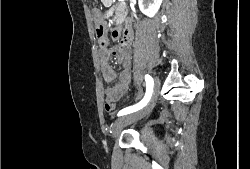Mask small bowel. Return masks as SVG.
I'll return each instance as SVG.
<instances>
[{
  "label": "small bowel",
  "mask_w": 250,
  "mask_h": 169,
  "mask_svg": "<svg viewBox=\"0 0 250 169\" xmlns=\"http://www.w3.org/2000/svg\"><path fill=\"white\" fill-rule=\"evenodd\" d=\"M115 17L117 20H122L123 13L116 10ZM131 38L128 28H125L120 46L117 48H110L103 36L99 38V44L101 45L99 50L100 68L105 83L112 84L116 78L115 70L110 63L111 58L114 57L121 65L117 82L105 90V95H118V100L127 91L131 80Z\"/></svg>",
  "instance_id": "c3829d8e"
}]
</instances>
